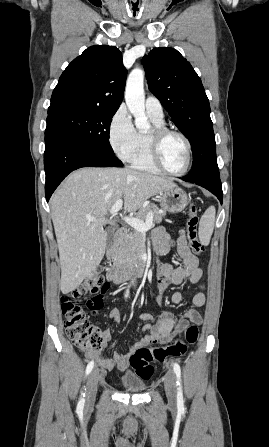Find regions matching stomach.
I'll list each match as a JSON object with an SVG mask.
<instances>
[{"mask_svg":"<svg viewBox=\"0 0 269 447\" xmlns=\"http://www.w3.org/2000/svg\"><path fill=\"white\" fill-rule=\"evenodd\" d=\"M161 196L162 208L167 210V212H172V214L182 212L190 202L187 194L181 188H177V186L175 188H169V190H164V192H161Z\"/></svg>","mask_w":269,"mask_h":447,"instance_id":"stomach-1","label":"stomach"}]
</instances>
